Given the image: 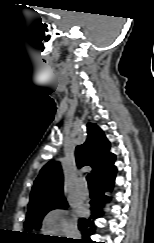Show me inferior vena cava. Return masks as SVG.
I'll list each match as a JSON object with an SVG mask.
<instances>
[{"label": "inferior vena cava", "mask_w": 154, "mask_h": 243, "mask_svg": "<svg viewBox=\"0 0 154 243\" xmlns=\"http://www.w3.org/2000/svg\"><path fill=\"white\" fill-rule=\"evenodd\" d=\"M67 235H68L67 238H73V239L81 238V234L75 226H72L68 229Z\"/></svg>", "instance_id": "602c4592"}]
</instances>
